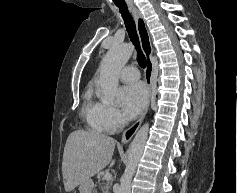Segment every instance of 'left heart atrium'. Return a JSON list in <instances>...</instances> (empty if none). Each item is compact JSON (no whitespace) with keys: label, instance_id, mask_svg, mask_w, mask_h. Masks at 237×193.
Wrapping results in <instances>:
<instances>
[{"label":"left heart atrium","instance_id":"obj_1","mask_svg":"<svg viewBox=\"0 0 237 193\" xmlns=\"http://www.w3.org/2000/svg\"><path fill=\"white\" fill-rule=\"evenodd\" d=\"M148 92L141 82L126 85L121 92L122 109L127 118L136 117L145 107Z\"/></svg>","mask_w":237,"mask_h":193}]
</instances>
